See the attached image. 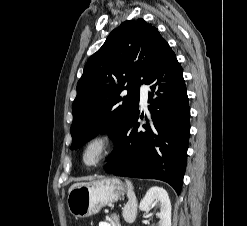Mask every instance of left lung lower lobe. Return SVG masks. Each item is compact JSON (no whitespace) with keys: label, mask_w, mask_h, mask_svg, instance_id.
<instances>
[{"label":"left lung lower lobe","mask_w":247,"mask_h":226,"mask_svg":"<svg viewBox=\"0 0 247 226\" xmlns=\"http://www.w3.org/2000/svg\"><path fill=\"white\" fill-rule=\"evenodd\" d=\"M150 118L137 122L139 107L120 129L104 169L116 176L158 179L180 194L187 162L190 108L182 67L167 43L148 72ZM143 115H141V118Z\"/></svg>","instance_id":"obj_1"}]
</instances>
